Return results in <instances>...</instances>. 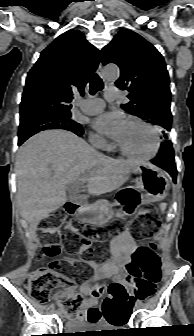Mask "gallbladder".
Masks as SVG:
<instances>
[{
    "label": "gallbladder",
    "instance_id": "obj_1",
    "mask_svg": "<svg viewBox=\"0 0 194 336\" xmlns=\"http://www.w3.org/2000/svg\"><path fill=\"white\" fill-rule=\"evenodd\" d=\"M68 196H69V198H76L77 197L73 192L72 186L68 187Z\"/></svg>",
    "mask_w": 194,
    "mask_h": 336
}]
</instances>
